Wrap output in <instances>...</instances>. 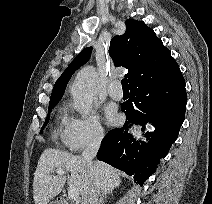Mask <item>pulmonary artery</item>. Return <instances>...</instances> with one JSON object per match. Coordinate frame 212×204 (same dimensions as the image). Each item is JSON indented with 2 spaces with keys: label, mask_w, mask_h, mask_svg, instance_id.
<instances>
[{
  "label": "pulmonary artery",
  "mask_w": 212,
  "mask_h": 204,
  "mask_svg": "<svg viewBox=\"0 0 212 204\" xmlns=\"http://www.w3.org/2000/svg\"><path fill=\"white\" fill-rule=\"evenodd\" d=\"M108 95L114 100H120L123 97V92L119 81H114L108 88Z\"/></svg>",
  "instance_id": "obj_1"
}]
</instances>
